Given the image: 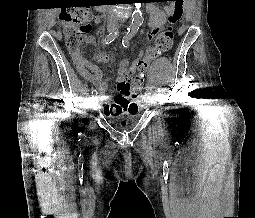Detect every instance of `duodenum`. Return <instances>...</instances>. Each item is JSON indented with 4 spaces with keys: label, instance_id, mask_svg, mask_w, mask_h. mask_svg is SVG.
<instances>
[{
    "label": "duodenum",
    "instance_id": "obj_1",
    "mask_svg": "<svg viewBox=\"0 0 255 218\" xmlns=\"http://www.w3.org/2000/svg\"><path fill=\"white\" fill-rule=\"evenodd\" d=\"M96 10H97L98 12H102V9H101L100 7H97Z\"/></svg>",
    "mask_w": 255,
    "mask_h": 218
}]
</instances>
